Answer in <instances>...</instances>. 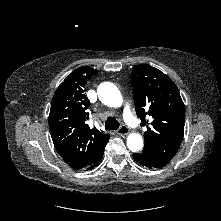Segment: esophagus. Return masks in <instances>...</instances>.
<instances>
[{"mask_svg":"<svg viewBox=\"0 0 221 221\" xmlns=\"http://www.w3.org/2000/svg\"><path fill=\"white\" fill-rule=\"evenodd\" d=\"M129 133V129L125 126L122 125L118 130H117V134L123 136V135H127Z\"/></svg>","mask_w":221,"mask_h":221,"instance_id":"34e87169","label":"esophagus"}]
</instances>
